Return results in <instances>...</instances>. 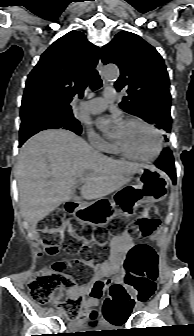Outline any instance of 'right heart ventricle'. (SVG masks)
<instances>
[{
    "mask_svg": "<svg viewBox=\"0 0 194 336\" xmlns=\"http://www.w3.org/2000/svg\"><path fill=\"white\" fill-rule=\"evenodd\" d=\"M110 151L115 152V153H119V151L117 150V148L113 147V146H111Z\"/></svg>",
    "mask_w": 194,
    "mask_h": 336,
    "instance_id": "e07e8e85",
    "label": "right heart ventricle"
}]
</instances>
